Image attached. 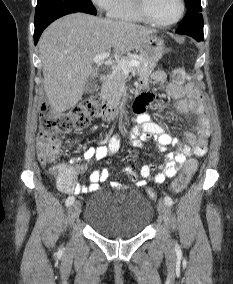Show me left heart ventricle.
<instances>
[{"instance_id": "obj_1", "label": "left heart ventricle", "mask_w": 233, "mask_h": 284, "mask_svg": "<svg viewBox=\"0 0 233 284\" xmlns=\"http://www.w3.org/2000/svg\"><path fill=\"white\" fill-rule=\"evenodd\" d=\"M148 8L152 16L160 22H169L179 13L178 0H148Z\"/></svg>"}]
</instances>
